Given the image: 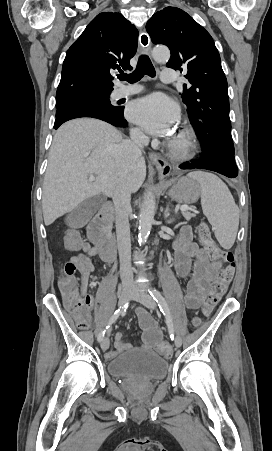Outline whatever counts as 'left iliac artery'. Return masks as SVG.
<instances>
[{
    "mask_svg": "<svg viewBox=\"0 0 272 451\" xmlns=\"http://www.w3.org/2000/svg\"><path fill=\"white\" fill-rule=\"evenodd\" d=\"M149 293L154 298V300L157 302V304L160 308V311L165 316L166 323H167L168 330H169V336H170L171 340H174L175 336H174V327H173V323H172V317H171V313H170V310H169V307H168V304H167L165 298L155 288H151L149 290Z\"/></svg>",
    "mask_w": 272,
    "mask_h": 451,
    "instance_id": "obj_1",
    "label": "left iliac artery"
}]
</instances>
